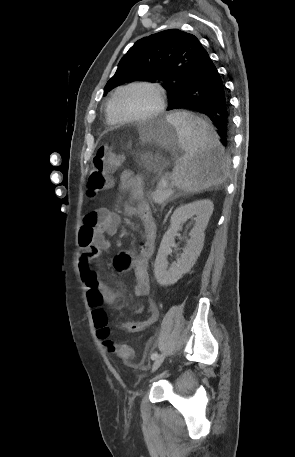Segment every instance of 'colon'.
Returning a JSON list of instances; mask_svg holds the SVG:
<instances>
[{
	"label": "colon",
	"mask_w": 295,
	"mask_h": 457,
	"mask_svg": "<svg viewBox=\"0 0 295 457\" xmlns=\"http://www.w3.org/2000/svg\"><path fill=\"white\" fill-rule=\"evenodd\" d=\"M122 160L123 157L110 145L101 146L97 150L92 160V170L87 183L89 197H95L111 185L110 175L119 167ZM100 305V303L95 305L92 315L98 337L105 340L104 349L108 350L110 355H116L117 360L131 359L132 349L128 345L121 344V341L106 340L110 332L108 315L104 309L100 308Z\"/></svg>",
	"instance_id": "obj_1"
}]
</instances>
